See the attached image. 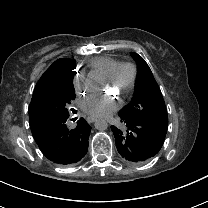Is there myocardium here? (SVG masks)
Instances as JSON below:
<instances>
[{
	"label": "myocardium",
	"mask_w": 208,
	"mask_h": 208,
	"mask_svg": "<svg viewBox=\"0 0 208 208\" xmlns=\"http://www.w3.org/2000/svg\"><path fill=\"white\" fill-rule=\"evenodd\" d=\"M123 69H128L130 72L129 80L123 86L125 97H127L134 89L138 78V69L134 63L132 62L119 63L117 67L108 76L104 77V83L115 85L117 83L118 76ZM121 102H123V100H121Z\"/></svg>",
	"instance_id": "1"
}]
</instances>
